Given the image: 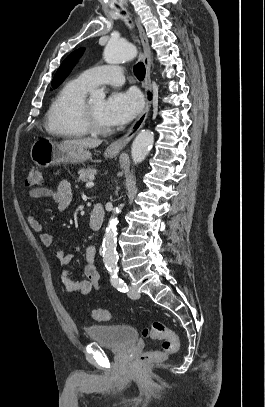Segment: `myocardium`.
<instances>
[{
  "label": "myocardium",
  "instance_id": "1",
  "mask_svg": "<svg viewBox=\"0 0 265 407\" xmlns=\"http://www.w3.org/2000/svg\"><path fill=\"white\" fill-rule=\"evenodd\" d=\"M78 117L81 125L89 134L108 135L112 131L110 127L104 128L97 123L88 103L85 101L79 107Z\"/></svg>",
  "mask_w": 265,
  "mask_h": 407
}]
</instances>
